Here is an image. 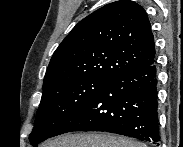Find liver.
<instances>
[{
	"instance_id": "1",
	"label": "liver",
	"mask_w": 183,
	"mask_h": 147,
	"mask_svg": "<svg viewBox=\"0 0 183 147\" xmlns=\"http://www.w3.org/2000/svg\"><path fill=\"white\" fill-rule=\"evenodd\" d=\"M44 147H147L133 139L106 133L68 134L48 141Z\"/></svg>"
}]
</instances>
